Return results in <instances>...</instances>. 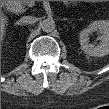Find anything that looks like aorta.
I'll use <instances>...</instances> for the list:
<instances>
[{
    "label": "aorta",
    "instance_id": "obj_1",
    "mask_svg": "<svg viewBox=\"0 0 109 109\" xmlns=\"http://www.w3.org/2000/svg\"><path fill=\"white\" fill-rule=\"evenodd\" d=\"M40 27L44 32L49 33L55 29L56 24L52 18H46L43 21H41Z\"/></svg>",
    "mask_w": 109,
    "mask_h": 109
}]
</instances>
